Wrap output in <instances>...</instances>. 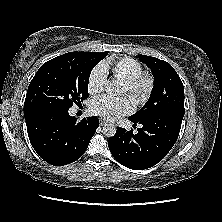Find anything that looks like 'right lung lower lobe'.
<instances>
[{"label": "right lung lower lobe", "instance_id": "1", "mask_svg": "<svg viewBox=\"0 0 222 222\" xmlns=\"http://www.w3.org/2000/svg\"><path fill=\"white\" fill-rule=\"evenodd\" d=\"M25 119L34 150L43 160L55 166L79 159L99 127L97 117L83 118L78 122L68 110L63 109L29 113Z\"/></svg>", "mask_w": 222, "mask_h": 222}]
</instances>
